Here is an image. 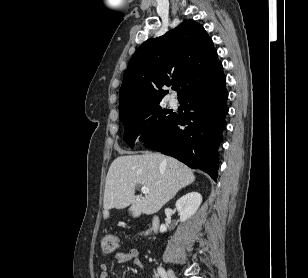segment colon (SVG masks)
Here are the masks:
<instances>
[{
	"label": "colon",
	"instance_id": "obj_1",
	"mask_svg": "<svg viewBox=\"0 0 308 278\" xmlns=\"http://www.w3.org/2000/svg\"><path fill=\"white\" fill-rule=\"evenodd\" d=\"M151 230L150 228L148 229ZM148 235L151 233L148 232ZM119 247V239L115 235H107L101 241V249L104 254H109L114 252Z\"/></svg>",
	"mask_w": 308,
	"mask_h": 278
}]
</instances>
